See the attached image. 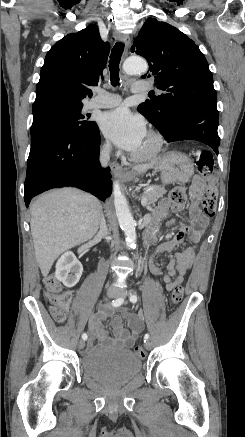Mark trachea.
<instances>
[{"label": "trachea", "instance_id": "trachea-1", "mask_svg": "<svg viewBox=\"0 0 245 437\" xmlns=\"http://www.w3.org/2000/svg\"><path fill=\"white\" fill-rule=\"evenodd\" d=\"M124 50V43L117 42L113 47L109 60L110 81L113 86L119 85V64Z\"/></svg>", "mask_w": 245, "mask_h": 437}]
</instances>
